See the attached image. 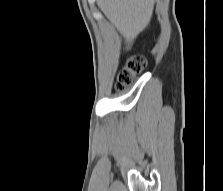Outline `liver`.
<instances>
[{"label":"liver","mask_w":223,"mask_h":191,"mask_svg":"<svg viewBox=\"0 0 223 191\" xmlns=\"http://www.w3.org/2000/svg\"><path fill=\"white\" fill-rule=\"evenodd\" d=\"M97 5L123 35L129 49L150 22L154 0H97Z\"/></svg>","instance_id":"liver-1"}]
</instances>
